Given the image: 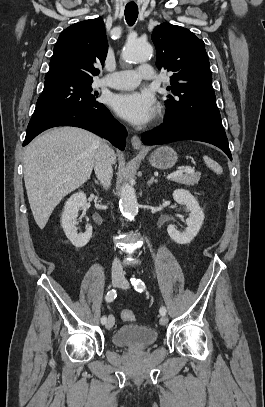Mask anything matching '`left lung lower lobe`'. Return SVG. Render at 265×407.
Segmentation results:
<instances>
[{
	"instance_id": "obj_1",
	"label": "left lung lower lobe",
	"mask_w": 265,
	"mask_h": 407,
	"mask_svg": "<svg viewBox=\"0 0 265 407\" xmlns=\"http://www.w3.org/2000/svg\"><path fill=\"white\" fill-rule=\"evenodd\" d=\"M141 138L146 145L164 144L179 140L207 142L222 149L232 160L226 133L196 122L177 121L162 123L157 129L142 134Z\"/></svg>"
}]
</instances>
